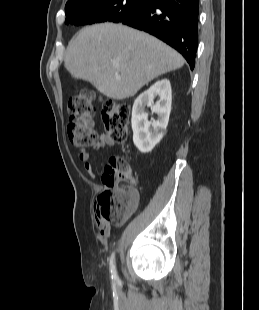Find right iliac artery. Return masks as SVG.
<instances>
[{
    "label": "right iliac artery",
    "instance_id": "1",
    "mask_svg": "<svg viewBox=\"0 0 259 310\" xmlns=\"http://www.w3.org/2000/svg\"><path fill=\"white\" fill-rule=\"evenodd\" d=\"M114 260H115V254L113 253L111 255V258H110V272H111L112 279L118 280V276H117Z\"/></svg>",
    "mask_w": 259,
    "mask_h": 310
}]
</instances>
